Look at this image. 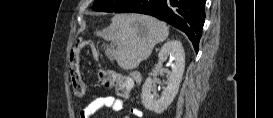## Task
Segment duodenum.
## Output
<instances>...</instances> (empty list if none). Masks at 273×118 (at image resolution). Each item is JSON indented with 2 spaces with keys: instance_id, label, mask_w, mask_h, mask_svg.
<instances>
[{
  "instance_id": "obj_1",
  "label": "duodenum",
  "mask_w": 273,
  "mask_h": 118,
  "mask_svg": "<svg viewBox=\"0 0 273 118\" xmlns=\"http://www.w3.org/2000/svg\"><path fill=\"white\" fill-rule=\"evenodd\" d=\"M131 77L135 83H138L141 80V76L138 72L134 71L131 73Z\"/></svg>"
}]
</instances>
